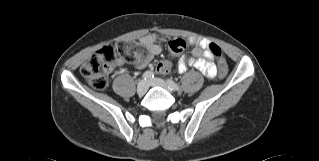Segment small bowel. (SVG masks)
<instances>
[{
  "label": "small bowel",
  "instance_id": "1",
  "mask_svg": "<svg viewBox=\"0 0 319 161\" xmlns=\"http://www.w3.org/2000/svg\"><path fill=\"white\" fill-rule=\"evenodd\" d=\"M140 44L146 49V59L141 60L139 67H144L147 65L148 60L153 56L158 55L161 51L158 42L159 38L156 35H147L140 39ZM189 42L194 44L195 47L188 57H182L178 61L177 70L179 73H184L187 71L188 66L202 72L207 78L214 79L217 75V66L212 61V54L209 49L210 43L203 39H197L194 37L189 38ZM161 63V62H160ZM158 63L156 65V71L160 74H165L169 70V65L166 69L160 68ZM124 64L122 59L116 60L115 66L119 67Z\"/></svg>",
  "mask_w": 319,
  "mask_h": 161
}]
</instances>
